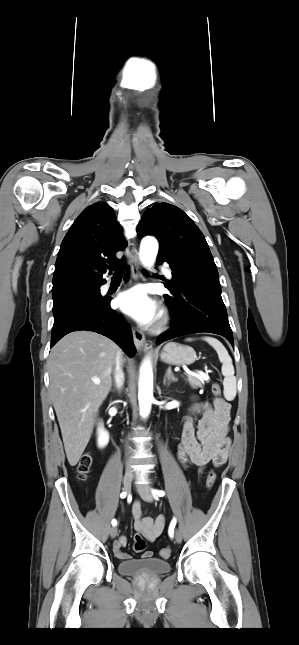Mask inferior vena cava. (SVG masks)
<instances>
[{
    "label": "inferior vena cava",
    "mask_w": 299,
    "mask_h": 645,
    "mask_svg": "<svg viewBox=\"0 0 299 645\" xmlns=\"http://www.w3.org/2000/svg\"><path fill=\"white\" fill-rule=\"evenodd\" d=\"M121 362H122V357H121V353L119 352L118 355H117V358H116V368H115V372H114L115 384H116V387L118 389H120L122 387L123 383H124V373H123V370H122V363ZM126 469L129 472L132 471L129 462L127 463V468Z\"/></svg>",
    "instance_id": "obj_1"
}]
</instances>
